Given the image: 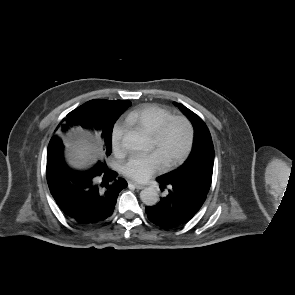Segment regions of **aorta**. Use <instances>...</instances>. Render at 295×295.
I'll return each mask as SVG.
<instances>
[{"instance_id": "1", "label": "aorta", "mask_w": 295, "mask_h": 295, "mask_svg": "<svg viewBox=\"0 0 295 295\" xmlns=\"http://www.w3.org/2000/svg\"><path fill=\"white\" fill-rule=\"evenodd\" d=\"M122 145L130 151H139L146 147V139L135 131L128 132L122 140ZM141 201L147 206H154L159 201V195L155 188L148 187L140 192Z\"/></svg>"}]
</instances>
